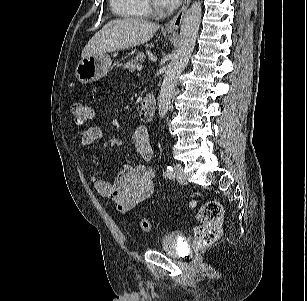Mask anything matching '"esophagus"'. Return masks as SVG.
I'll return each mask as SVG.
<instances>
[{
    "label": "esophagus",
    "instance_id": "34e87169",
    "mask_svg": "<svg viewBox=\"0 0 307 301\" xmlns=\"http://www.w3.org/2000/svg\"><path fill=\"white\" fill-rule=\"evenodd\" d=\"M191 0H185L179 12L165 25V30L168 32L176 31L183 20L184 14L190 4Z\"/></svg>",
    "mask_w": 307,
    "mask_h": 301
}]
</instances>
